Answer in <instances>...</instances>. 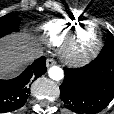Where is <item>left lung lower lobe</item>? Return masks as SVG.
Wrapping results in <instances>:
<instances>
[{
    "mask_svg": "<svg viewBox=\"0 0 114 114\" xmlns=\"http://www.w3.org/2000/svg\"><path fill=\"white\" fill-rule=\"evenodd\" d=\"M64 72L60 98L71 111L95 114L114 98V53L101 52L90 64Z\"/></svg>",
    "mask_w": 114,
    "mask_h": 114,
    "instance_id": "1",
    "label": "left lung lower lobe"
}]
</instances>
